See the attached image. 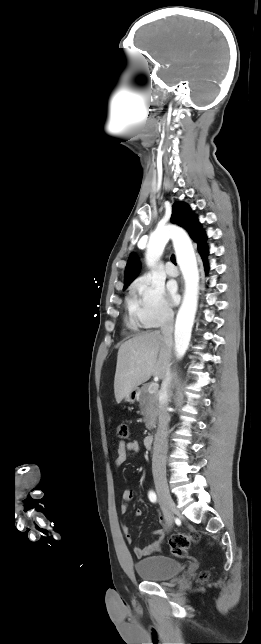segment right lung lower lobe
<instances>
[{"label": "right lung lower lobe", "instance_id": "right-lung-lower-lobe-1", "mask_svg": "<svg viewBox=\"0 0 261 644\" xmlns=\"http://www.w3.org/2000/svg\"><path fill=\"white\" fill-rule=\"evenodd\" d=\"M206 256H207V255L202 256V259H203V260H205ZM204 266H205V271L207 272V271H208V265H207V264H205Z\"/></svg>", "mask_w": 261, "mask_h": 644}]
</instances>
